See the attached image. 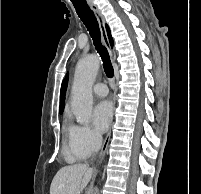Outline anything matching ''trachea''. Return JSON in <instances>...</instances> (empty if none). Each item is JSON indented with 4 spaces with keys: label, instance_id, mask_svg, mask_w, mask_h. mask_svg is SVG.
I'll list each match as a JSON object with an SVG mask.
<instances>
[{
    "label": "trachea",
    "instance_id": "obj_1",
    "mask_svg": "<svg viewBox=\"0 0 201 194\" xmlns=\"http://www.w3.org/2000/svg\"><path fill=\"white\" fill-rule=\"evenodd\" d=\"M73 1V0H72ZM73 5L76 9V12L84 25L86 26L87 30L89 31V34L93 40L95 49L99 53L102 62H103V68L107 75V77L111 78L114 75V70L111 64V60L109 57V53L101 43V35H100V29L98 21L93 13V11L90 9V7L85 2H73Z\"/></svg>",
    "mask_w": 201,
    "mask_h": 194
}]
</instances>
